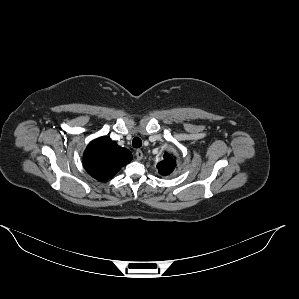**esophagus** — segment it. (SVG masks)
<instances>
[{"label":"esophagus","mask_w":299,"mask_h":299,"mask_svg":"<svg viewBox=\"0 0 299 299\" xmlns=\"http://www.w3.org/2000/svg\"><path fill=\"white\" fill-rule=\"evenodd\" d=\"M135 155L138 161H140L143 158V152L141 150H137Z\"/></svg>","instance_id":"obj_1"}]
</instances>
